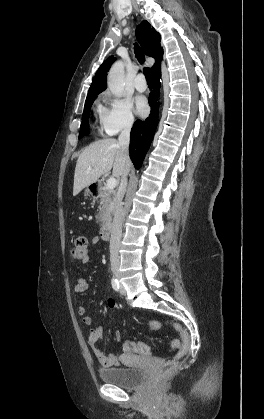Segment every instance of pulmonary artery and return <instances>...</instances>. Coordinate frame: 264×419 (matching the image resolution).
<instances>
[{
    "label": "pulmonary artery",
    "mask_w": 264,
    "mask_h": 419,
    "mask_svg": "<svg viewBox=\"0 0 264 419\" xmlns=\"http://www.w3.org/2000/svg\"><path fill=\"white\" fill-rule=\"evenodd\" d=\"M134 85H135V88L140 92H143L146 90L147 85H146L145 77L143 74H138L136 76Z\"/></svg>",
    "instance_id": "1"
}]
</instances>
